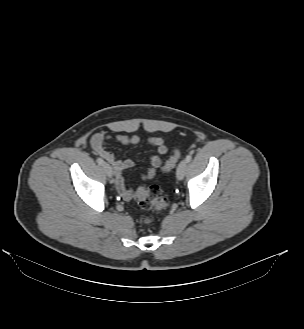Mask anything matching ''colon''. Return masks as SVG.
Wrapping results in <instances>:
<instances>
[{"mask_svg":"<svg viewBox=\"0 0 304 329\" xmlns=\"http://www.w3.org/2000/svg\"><path fill=\"white\" fill-rule=\"evenodd\" d=\"M181 158V151L179 148L174 149L173 154L161 167V171L168 172L172 170ZM134 199L139 207L143 210H165L169 204L170 199L167 195L163 194L161 189L156 185L146 186L140 185L134 195ZM145 223H150V217H144Z\"/></svg>","mask_w":304,"mask_h":329,"instance_id":"1","label":"colon"}]
</instances>
